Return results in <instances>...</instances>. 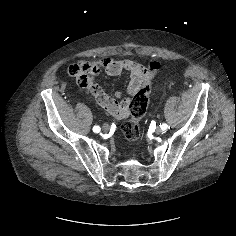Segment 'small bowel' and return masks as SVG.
Instances as JSON below:
<instances>
[{
    "label": "small bowel",
    "instance_id": "obj_1",
    "mask_svg": "<svg viewBox=\"0 0 236 236\" xmlns=\"http://www.w3.org/2000/svg\"><path fill=\"white\" fill-rule=\"evenodd\" d=\"M129 72L130 80L126 88L106 94L99 88V83L94 75L101 72L109 76H117L122 72ZM68 75L77 80V84L87 95H94L100 106L106 109L116 118H125L131 110V102L134 95L142 88L150 84V72L139 62L130 59H114L105 56L95 62L81 59L73 62L68 67Z\"/></svg>",
    "mask_w": 236,
    "mask_h": 236
}]
</instances>
